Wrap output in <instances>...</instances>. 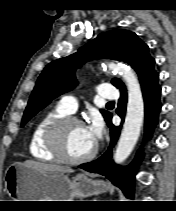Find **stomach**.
I'll return each mask as SVG.
<instances>
[{
	"label": "stomach",
	"mask_w": 176,
	"mask_h": 211,
	"mask_svg": "<svg viewBox=\"0 0 176 211\" xmlns=\"http://www.w3.org/2000/svg\"><path fill=\"white\" fill-rule=\"evenodd\" d=\"M5 188L13 201H73L106 192L107 184L86 174L72 179L63 173L43 172L14 163L5 171Z\"/></svg>",
	"instance_id": "stomach-1"
}]
</instances>
